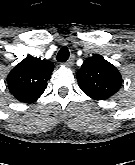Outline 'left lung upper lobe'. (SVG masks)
Returning a JSON list of instances; mask_svg holds the SVG:
<instances>
[{"instance_id":"left-lung-upper-lobe-1","label":"left lung upper lobe","mask_w":135,"mask_h":165,"mask_svg":"<svg viewBox=\"0 0 135 165\" xmlns=\"http://www.w3.org/2000/svg\"><path fill=\"white\" fill-rule=\"evenodd\" d=\"M76 76L82 91L96 100L110 98L122 83L118 69L99 55L86 59Z\"/></svg>"}]
</instances>
